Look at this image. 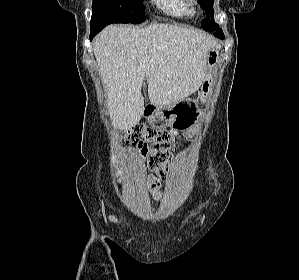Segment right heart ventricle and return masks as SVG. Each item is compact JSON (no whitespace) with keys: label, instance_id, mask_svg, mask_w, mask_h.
Masks as SVG:
<instances>
[{"label":"right heart ventricle","instance_id":"e07e8e85","mask_svg":"<svg viewBox=\"0 0 299 280\" xmlns=\"http://www.w3.org/2000/svg\"><path fill=\"white\" fill-rule=\"evenodd\" d=\"M165 14L179 19H188L195 14L194 0H153Z\"/></svg>","mask_w":299,"mask_h":280}]
</instances>
